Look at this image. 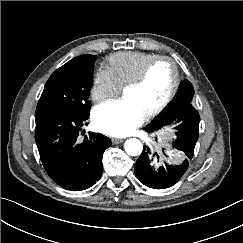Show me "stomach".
Here are the masks:
<instances>
[{"label": "stomach", "mask_w": 243, "mask_h": 243, "mask_svg": "<svg viewBox=\"0 0 243 243\" xmlns=\"http://www.w3.org/2000/svg\"><path fill=\"white\" fill-rule=\"evenodd\" d=\"M163 144V141L159 142V145H162Z\"/></svg>", "instance_id": "stomach-1"}]
</instances>
